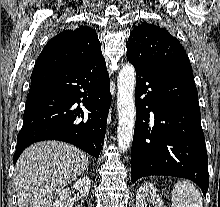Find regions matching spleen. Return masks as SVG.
Wrapping results in <instances>:
<instances>
[{
  "instance_id": "1",
  "label": "spleen",
  "mask_w": 220,
  "mask_h": 207,
  "mask_svg": "<svg viewBox=\"0 0 220 207\" xmlns=\"http://www.w3.org/2000/svg\"><path fill=\"white\" fill-rule=\"evenodd\" d=\"M172 207H203L202 196L190 182L178 181L172 193Z\"/></svg>"
}]
</instances>
